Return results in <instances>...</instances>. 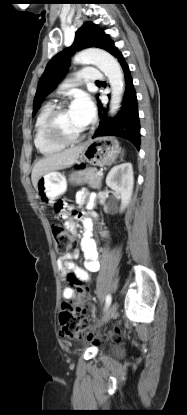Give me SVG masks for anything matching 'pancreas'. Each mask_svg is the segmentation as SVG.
Wrapping results in <instances>:
<instances>
[{"mask_svg":"<svg viewBox=\"0 0 187 415\" xmlns=\"http://www.w3.org/2000/svg\"><path fill=\"white\" fill-rule=\"evenodd\" d=\"M96 168H88L70 175L69 181L77 185L88 184L92 189H99L101 187L102 175L97 174Z\"/></svg>","mask_w":187,"mask_h":415,"instance_id":"1","label":"pancreas"}]
</instances>
